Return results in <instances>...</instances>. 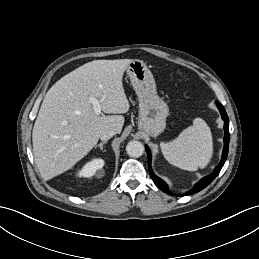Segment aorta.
<instances>
[{"label": "aorta", "mask_w": 259, "mask_h": 259, "mask_svg": "<svg viewBox=\"0 0 259 259\" xmlns=\"http://www.w3.org/2000/svg\"><path fill=\"white\" fill-rule=\"evenodd\" d=\"M126 152L130 157L138 158L144 153V145L139 141H130L126 146Z\"/></svg>", "instance_id": "obj_1"}]
</instances>
